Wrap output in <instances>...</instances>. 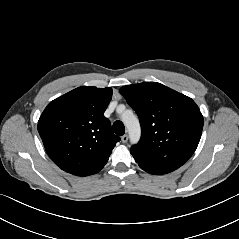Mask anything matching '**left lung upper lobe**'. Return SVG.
<instances>
[{
  "label": "left lung upper lobe",
  "mask_w": 239,
  "mask_h": 239,
  "mask_svg": "<svg viewBox=\"0 0 239 239\" xmlns=\"http://www.w3.org/2000/svg\"><path fill=\"white\" fill-rule=\"evenodd\" d=\"M120 93L140 120L141 139L130 150L139 166L166 174L187 162L198 146L204 123L196 103L157 82L127 85Z\"/></svg>",
  "instance_id": "left-lung-upper-lobe-1"
}]
</instances>
